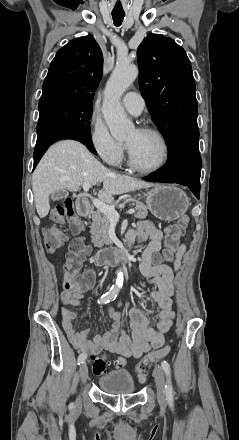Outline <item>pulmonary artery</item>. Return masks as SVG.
Wrapping results in <instances>:
<instances>
[{
    "instance_id": "1",
    "label": "pulmonary artery",
    "mask_w": 239,
    "mask_h": 440,
    "mask_svg": "<svg viewBox=\"0 0 239 440\" xmlns=\"http://www.w3.org/2000/svg\"><path fill=\"white\" fill-rule=\"evenodd\" d=\"M122 103L125 109L134 115L140 114L145 106L144 99L134 91L127 92L122 99Z\"/></svg>"
}]
</instances>
